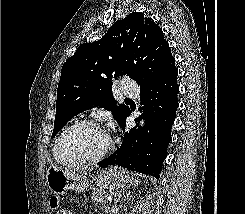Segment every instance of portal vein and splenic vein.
<instances>
[{"label": "portal vein and splenic vein", "instance_id": "obj_1", "mask_svg": "<svg viewBox=\"0 0 245 214\" xmlns=\"http://www.w3.org/2000/svg\"><path fill=\"white\" fill-rule=\"evenodd\" d=\"M107 199H108L109 201H112V197H111V196H108Z\"/></svg>", "mask_w": 245, "mask_h": 214}]
</instances>
